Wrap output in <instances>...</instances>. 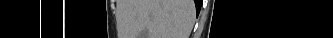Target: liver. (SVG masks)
<instances>
[{"label":"liver","instance_id":"1","mask_svg":"<svg viewBox=\"0 0 333 38\" xmlns=\"http://www.w3.org/2000/svg\"><path fill=\"white\" fill-rule=\"evenodd\" d=\"M137 34L148 38H188L194 18L193 0H137Z\"/></svg>","mask_w":333,"mask_h":38}]
</instances>
